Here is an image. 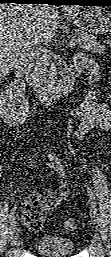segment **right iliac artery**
I'll use <instances>...</instances> for the list:
<instances>
[{"instance_id": "82829eb1", "label": "right iliac artery", "mask_w": 111, "mask_h": 257, "mask_svg": "<svg viewBox=\"0 0 111 257\" xmlns=\"http://www.w3.org/2000/svg\"><path fill=\"white\" fill-rule=\"evenodd\" d=\"M17 207L16 205L13 207L12 211H11V214L9 216V219L11 221V224L14 222V219H15V211H16Z\"/></svg>"}]
</instances>
